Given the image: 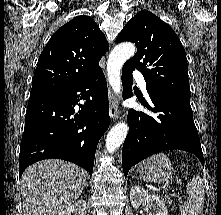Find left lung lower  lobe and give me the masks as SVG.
I'll list each match as a JSON object with an SVG mask.
<instances>
[{
	"instance_id": "obj_1",
	"label": "left lung lower lobe",
	"mask_w": 221,
	"mask_h": 215,
	"mask_svg": "<svg viewBox=\"0 0 221 215\" xmlns=\"http://www.w3.org/2000/svg\"><path fill=\"white\" fill-rule=\"evenodd\" d=\"M132 71L123 68V97L132 93ZM152 102L141 104L157 115L129 110V133L122 149V166L125 177L129 169L141 160L165 150L180 149L193 153L204 165L200 139L193 121L189 101L147 90Z\"/></svg>"
}]
</instances>
